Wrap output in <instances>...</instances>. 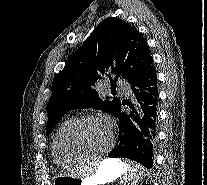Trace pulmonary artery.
<instances>
[{"instance_id": "obj_1", "label": "pulmonary artery", "mask_w": 207, "mask_h": 185, "mask_svg": "<svg viewBox=\"0 0 207 185\" xmlns=\"http://www.w3.org/2000/svg\"><path fill=\"white\" fill-rule=\"evenodd\" d=\"M120 90L127 95L131 92L129 87H120Z\"/></svg>"}]
</instances>
